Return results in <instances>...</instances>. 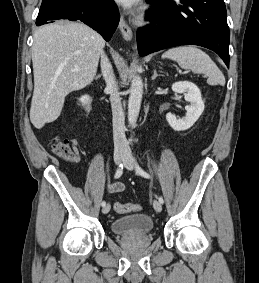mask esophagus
I'll use <instances>...</instances> for the list:
<instances>
[{
    "instance_id": "obj_1",
    "label": "esophagus",
    "mask_w": 259,
    "mask_h": 283,
    "mask_svg": "<svg viewBox=\"0 0 259 283\" xmlns=\"http://www.w3.org/2000/svg\"><path fill=\"white\" fill-rule=\"evenodd\" d=\"M119 29L124 37L125 40L131 41L133 38L132 30L129 27V25L126 23L123 16H121L120 22H119Z\"/></svg>"
}]
</instances>
